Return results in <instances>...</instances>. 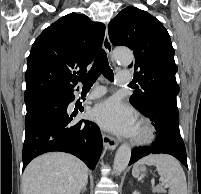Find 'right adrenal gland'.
I'll use <instances>...</instances> for the list:
<instances>
[{
  "mask_svg": "<svg viewBox=\"0 0 201 194\" xmlns=\"http://www.w3.org/2000/svg\"><path fill=\"white\" fill-rule=\"evenodd\" d=\"M86 185L81 189V193L83 194L86 191Z\"/></svg>",
  "mask_w": 201,
  "mask_h": 194,
  "instance_id": "obj_1",
  "label": "right adrenal gland"
}]
</instances>
